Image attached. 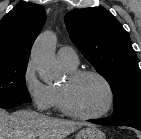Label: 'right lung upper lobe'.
Returning a JSON list of instances; mask_svg holds the SVG:
<instances>
[{
    "instance_id": "1",
    "label": "right lung upper lobe",
    "mask_w": 141,
    "mask_h": 139,
    "mask_svg": "<svg viewBox=\"0 0 141 139\" xmlns=\"http://www.w3.org/2000/svg\"><path fill=\"white\" fill-rule=\"evenodd\" d=\"M45 20L44 7L30 2L18 3L5 15L0 20V62L28 63Z\"/></svg>"
}]
</instances>
